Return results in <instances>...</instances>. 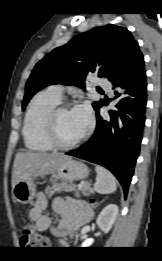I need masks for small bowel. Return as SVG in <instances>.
<instances>
[{
	"label": "small bowel",
	"mask_w": 162,
	"mask_h": 261,
	"mask_svg": "<svg viewBox=\"0 0 162 261\" xmlns=\"http://www.w3.org/2000/svg\"><path fill=\"white\" fill-rule=\"evenodd\" d=\"M46 207V198L44 194L40 193L33 207L29 210V218L35 224L36 229L44 230L50 227L49 218L43 213ZM53 207L56 213L61 218L60 229L65 227L70 230L74 225L73 209L71 201L65 198H56L53 202Z\"/></svg>",
	"instance_id": "c3829d8e"
}]
</instances>
